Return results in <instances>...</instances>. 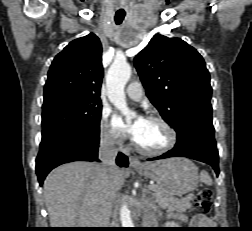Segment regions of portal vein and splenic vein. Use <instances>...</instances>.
<instances>
[{"label":"portal vein and splenic vein","mask_w":252,"mask_h":231,"mask_svg":"<svg viewBox=\"0 0 252 231\" xmlns=\"http://www.w3.org/2000/svg\"><path fill=\"white\" fill-rule=\"evenodd\" d=\"M148 189H149V190H153V187H152V186H148Z\"/></svg>","instance_id":"18ae733b"}]
</instances>
